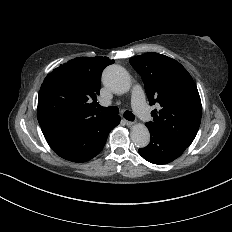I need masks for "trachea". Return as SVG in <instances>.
<instances>
[{
	"label": "trachea",
	"instance_id": "trachea-1",
	"mask_svg": "<svg viewBox=\"0 0 232 232\" xmlns=\"http://www.w3.org/2000/svg\"><path fill=\"white\" fill-rule=\"evenodd\" d=\"M97 109L104 112V113L111 114V115H117L119 113V109L116 106L106 108V107H102V106L98 105ZM123 116L125 119H127L129 121H133L135 119V116L130 111H125Z\"/></svg>",
	"mask_w": 232,
	"mask_h": 232
}]
</instances>
